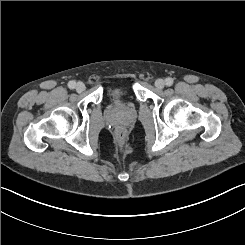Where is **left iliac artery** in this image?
<instances>
[{"mask_svg":"<svg viewBox=\"0 0 245 245\" xmlns=\"http://www.w3.org/2000/svg\"><path fill=\"white\" fill-rule=\"evenodd\" d=\"M167 86H171L173 84V79L172 78H167L165 80Z\"/></svg>","mask_w":245,"mask_h":245,"instance_id":"left-iliac-artery-1","label":"left iliac artery"}]
</instances>
